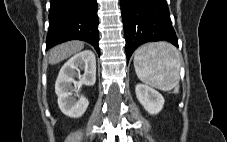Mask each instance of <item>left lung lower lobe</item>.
I'll use <instances>...</instances> for the list:
<instances>
[{
  "label": "left lung lower lobe",
  "mask_w": 227,
  "mask_h": 142,
  "mask_svg": "<svg viewBox=\"0 0 227 142\" xmlns=\"http://www.w3.org/2000/svg\"><path fill=\"white\" fill-rule=\"evenodd\" d=\"M126 40L127 62L146 42L170 41L178 47L166 0H120Z\"/></svg>",
  "instance_id": "obj_1"
}]
</instances>
